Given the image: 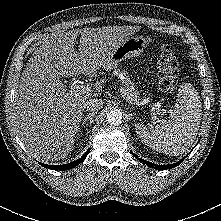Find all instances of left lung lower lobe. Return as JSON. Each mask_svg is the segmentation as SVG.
I'll list each match as a JSON object with an SVG mask.
<instances>
[{
  "instance_id": "obj_1",
  "label": "left lung lower lobe",
  "mask_w": 221,
  "mask_h": 221,
  "mask_svg": "<svg viewBox=\"0 0 221 221\" xmlns=\"http://www.w3.org/2000/svg\"><path fill=\"white\" fill-rule=\"evenodd\" d=\"M132 155L134 157L138 158V156H136L134 153H132ZM184 158L181 159L180 161L174 163V164H168V165H156V164H152L151 162L145 161L141 158H138V159H139V161H141L142 163L146 164L149 167H152V168H155V169H158V170H167V169H171V168H174L177 165H179L184 160Z\"/></svg>"
}]
</instances>
